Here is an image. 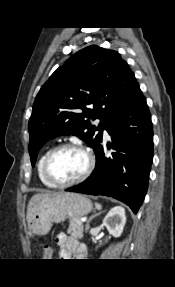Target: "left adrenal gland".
<instances>
[{
    "label": "left adrenal gland",
    "mask_w": 175,
    "mask_h": 287,
    "mask_svg": "<svg viewBox=\"0 0 175 287\" xmlns=\"http://www.w3.org/2000/svg\"><path fill=\"white\" fill-rule=\"evenodd\" d=\"M100 214H102V212L96 213V214H94L93 216H91V217L88 219V221H87V223H86V229H89L90 221H91L93 218H95L96 216H99Z\"/></svg>",
    "instance_id": "left-adrenal-gland-1"
}]
</instances>
